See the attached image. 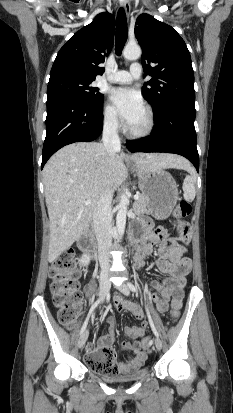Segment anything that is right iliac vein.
I'll use <instances>...</instances> for the list:
<instances>
[{
  "mask_svg": "<svg viewBox=\"0 0 233 413\" xmlns=\"http://www.w3.org/2000/svg\"><path fill=\"white\" fill-rule=\"evenodd\" d=\"M110 289V282L107 277L103 278L100 282V295L102 297L106 296ZM89 332L85 330L79 338L78 347L82 348L88 338Z\"/></svg>",
  "mask_w": 233,
  "mask_h": 413,
  "instance_id": "1",
  "label": "right iliac vein"
}]
</instances>
